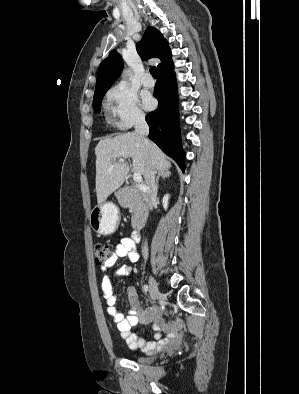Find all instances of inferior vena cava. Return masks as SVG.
Here are the masks:
<instances>
[{
    "label": "inferior vena cava",
    "mask_w": 299,
    "mask_h": 394,
    "mask_svg": "<svg viewBox=\"0 0 299 394\" xmlns=\"http://www.w3.org/2000/svg\"><path fill=\"white\" fill-rule=\"evenodd\" d=\"M135 133L139 135L146 146V148L150 147V142L146 138L149 134V126L145 120L144 115H137L136 120H135ZM155 168L152 163L151 158L148 160V171H147V177H146V183L148 186L147 189V207L152 210L153 209V204L156 201L157 197V187L155 183ZM142 255L145 260L148 258V245L147 242L145 241L144 246L142 247Z\"/></svg>",
    "instance_id": "1"
}]
</instances>
